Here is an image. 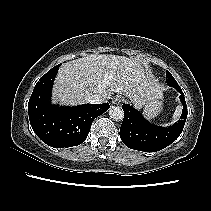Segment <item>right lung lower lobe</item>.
<instances>
[{
    "label": "right lung lower lobe",
    "mask_w": 211,
    "mask_h": 211,
    "mask_svg": "<svg viewBox=\"0 0 211 211\" xmlns=\"http://www.w3.org/2000/svg\"><path fill=\"white\" fill-rule=\"evenodd\" d=\"M60 65L53 67L39 82L28 103L30 124L37 136L54 148L81 144L96 117L110 108L109 103L59 107L50 102L52 84Z\"/></svg>",
    "instance_id": "98d812e1"
}]
</instances>
